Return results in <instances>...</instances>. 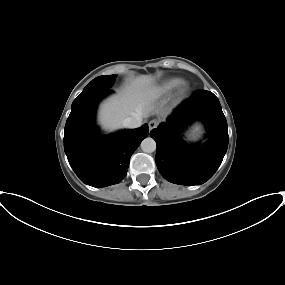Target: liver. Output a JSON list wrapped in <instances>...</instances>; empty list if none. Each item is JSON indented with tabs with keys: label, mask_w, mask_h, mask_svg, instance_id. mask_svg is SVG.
I'll use <instances>...</instances> for the list:
<instances>
[{
	"label": "liver",
	"mask_w": 285,
	"mask_h": 285,
	"mask_svg": "<svg viewBox=\"0 0 285 285\" xmlns=\"http://www.w3.org/2000/svg\"><path fill=\"white\" fill-rule=\"evenodd\" d=\"M154 79L142 75L134 79L118 95L105 100L99 109V122L108 130L122 127L123 120L140 115L147 117L153 109L152 102L156 96Z\"/></svg>",
	"instance_id": "obj_1"
}]
</instances>
